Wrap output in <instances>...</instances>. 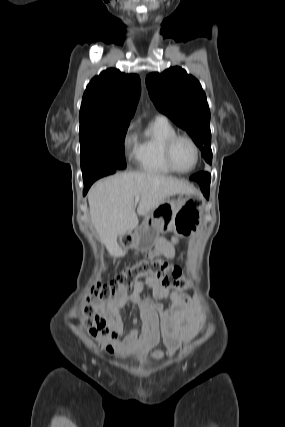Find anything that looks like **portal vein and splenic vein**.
Masks as SVG:
<instances>
[{
	"label": "portal vein and splenic vein",
	"mask_w": 285,
	"mask_h": 427,
	"mask_svg": "<svg viewBox=\"0 0 285 427\" xmlns=\"http://www.w3.org/2000/svg\"><path fill=\"white\" fill-rule=\"evenodd\" d=\"M139 200H140V197H139V196H136V197H135L134 204H135V205H137V203L139 202Z\"/></svg>",
	"instance_id": "18ae733b"
}]
</instances>
